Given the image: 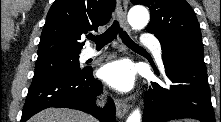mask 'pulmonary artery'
I'll use <instances>...</instances> for the list:
<instances>
[{
    "instance_id": "obj_1",
    "label": "pulmonary artery",
    "mask_w": 221,
    "mask_h": 122,
    "mask_svg": "<svg viewBox=\"0 0 221 122\" xmlns=\"http://www.w3.org/2000/svg\"><path fill=\"white\" fill-rule=\"evenodd\" d=\"M142 44H143V46L153 50L157 61L161 64L162 63V49H161V45H160L159 41L151 35H145L142 38ZM100 53L101 52L97 51L96 49L86 48L81 53V59L87 60L89 58L99 55Z\"/></svg>"
}]
</instances>
